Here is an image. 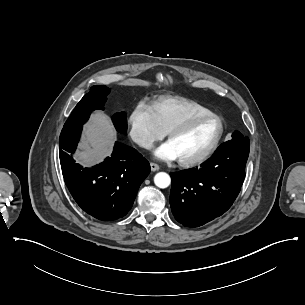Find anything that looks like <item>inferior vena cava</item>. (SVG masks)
<instances>
[{"label":"inferior vena cava","mask_w":305,"mask_h":305,"mask_svg":"<svg viewBox=\"0 0 305 305\" xmlns=\"http://www.w3.org/2000/svg\"><path fill=\"white\" fill-rule=\"evenodd\" d=\"M136 142L139 143L144 148H149L151 146V143L148 140H146L140 136H138V138L136 139Z\"/></svg>","instance_id":"1"}]
</instances>
